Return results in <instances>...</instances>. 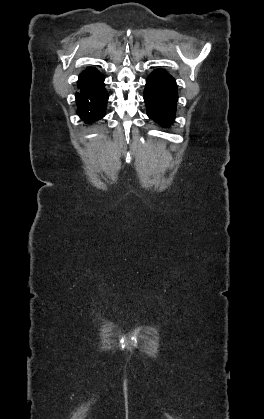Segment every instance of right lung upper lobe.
I'll return each mask as SVG.
<instances>
[{
	"label": "right lung upper lobe",
	"mask_w": 264,
	"mask_h": 419,
	"mask_svg": "<svg viewBox=\"0 0 264 419\" xmlns=\"http://www.w3.org/2000/svg\"><path fill=\"white\" fill-rule=\"evenodd\" d=\"M100 73L95 68H87L81 73L79 81H88L98 76Z\"/></svg>",
	"instance_id": "right-lung-upper-lobe-1"
}]
</instances>
